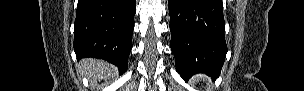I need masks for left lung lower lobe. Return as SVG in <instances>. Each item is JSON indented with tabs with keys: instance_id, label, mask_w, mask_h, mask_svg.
<instances>
[{
	"instance_id": "0a47b994",
	"label": "left lung lower lobe",
	"mask_w": 304,
	"mask_h": 91,
	"mask_svg": "<svg viewBox=\"0 0 304 91\" xmlns=\"http://www.w3.org/2000/svg\"><path fill=\"white\" fill-rule=\"evenodd\" d=\"M171 50L184 80L219 77L227 53L221 0H169Z\"/></svg>"
}]
</instances>
